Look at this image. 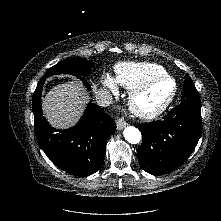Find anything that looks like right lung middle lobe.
<instances>
[{
	"label": "right lung middle lobe",
	"mask_w": 221,
	"mask_h": 221,
	"mask_svg": "<svg viewBox=\"0 0 221 221\" xmlns=\"http://www.w3.org/2000/svg\"><path fill=\"white\" fill-rule=\"evenodd\" d=\"M93 66V62L88 60L68 59L49 68L45 77L56 74H71L77 77H81L83 75L89 74Z\"/></svg>",
	"instance_id": "1"
}]
</instances>
